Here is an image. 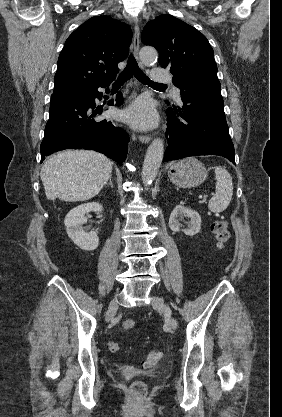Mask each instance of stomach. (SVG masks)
Listing matches in <instances>:
<instances>
[{
  "label": "stomach",
  "mask_w": 282,
  "mask_h": 417,
  "mask_svg": "<svg viewBox=\"0 0 282 417\" xmlns=\"http://www.w3.org/2000/svg\"><path fill=\"white\" fill-rule=\"evenodd\" d=\"M168 176L176 186L192 188V186H199L204 182L208 176V170L198 158L187 156V158L171 164Z\"/></svg>",
  "instance_id": "stomach-1"
}]
</instances>
